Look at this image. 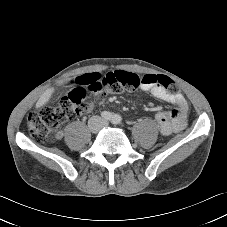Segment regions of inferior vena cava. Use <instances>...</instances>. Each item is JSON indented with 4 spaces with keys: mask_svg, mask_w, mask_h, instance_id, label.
Listing matches in <instances>:
<instances>
[{
    "mask_svg": "<svg viewBox=\"0 0 227 227\" xmlns=\"http://www.w3.org/2000/svg\"><path fill=\"white\" fill-rule=\"evenodd\" d=\"M97 119L99 121V127H101L103 125V120L100 117H98Z\"/></svg>",
    "mask_w": 227,
    "mask_h": 227,
    "instance_id": "inferior-vena-cava-1",
    "label": "inferior vena cava"
}]
</instances>
